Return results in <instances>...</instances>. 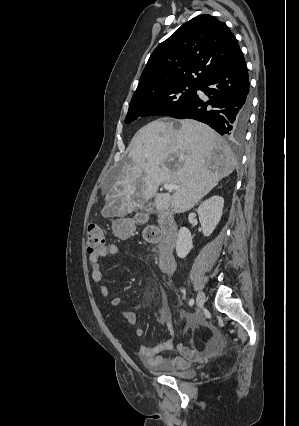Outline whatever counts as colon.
Segmentation results:
<instances>
[{"instance_id": "colon-1", "label": "colon", "mask_w": 299, "mask_h": 426, "mask_svg": "<svg viewBox=\"0 0 299 426\" xmlns=\"http://www.w3.org/2000/svg\"><path fill=\"white\" fill-rule=\"evenodd\" d=\"M142 236L149 243H156L160 240V232L154 226H149L143 230ZM106 244L105 234L98 225L91 224L87 228V250L93 253L97 248Z\"/></svg>"}]
</instances>
